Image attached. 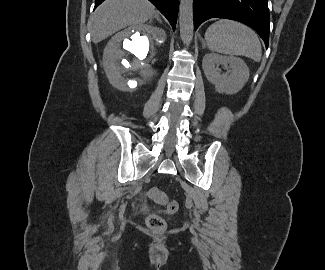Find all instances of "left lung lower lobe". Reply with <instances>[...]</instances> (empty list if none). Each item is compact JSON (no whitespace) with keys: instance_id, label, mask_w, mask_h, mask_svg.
<instances>
[{"instance_id":"left-lung-lower-lobe-1","label":"left lung lower lobe","mask_w":325,"mask_h":270,"mask_svg":"<svg viewBox=\"0 0 325 270\" xmlns=\"http://www.w3.org/2000/svg\"><path fill=\"white\" fill-rule=\"evenodd\" d=\"M210 18L242 22L256 30L268 47V0H194V29Z\"/></svg>"}]
</instances>
